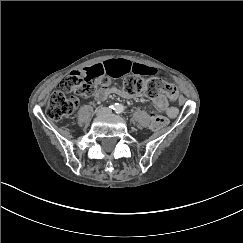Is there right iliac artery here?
<instances>
[{
	"label": "right iliac artery",
	"mask_w": 243,
	"mask_h": 243,
	"mask_svg": "<svg viewBox=\"0 0 243 243\" xmlns=\"http://www.w3.org/2000/svg\"><path fill=\"white\" fill-rule=\"evenodd\" d=\"M111 109L117 110L119 108V105L117 103L110 106Z\"/></svg>",
	"instance_id": "1"
}]
</instances>
